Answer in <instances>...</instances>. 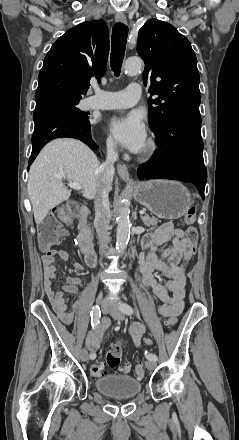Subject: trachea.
Segmentation results:
<instances>
[{
  "mask_svg": "<svg viewBox=\"0 0 239 440\" xmlns=\"http://www.w3.org/2000/svg\"><path fill=\"white\" fill-rule=\"evenodd\" d=\"M128 36V27L118 22L113 26L111 39V70L118 77L121 71L122 62L126 50V41Z\"/></svg>",
  "mask_w": 239,
  "mask_h": 440,
  "instance_id": "3493384b",
  "label": "trachea"
}]
</instances>
